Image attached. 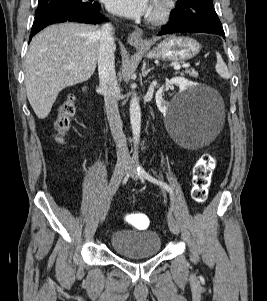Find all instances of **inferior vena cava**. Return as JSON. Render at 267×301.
I'll return each instance as SVG.
<instances>
[{
	"mask_svg": "<svg viewBox=\"0 0 267 301\" xmlns=\"http://www.w3.org/2000/svg\"><path fill=\"white\" fill-rule=\"evenodd\" d=\"M99 34L101 36L98 55L100 87L104 94L106 114L111 133L118 148L117 162L126 164L130 160V155L118 110L120 90L114 65V28L110 23H106L99 30Z\"/></svg>",
	"mask_w": 267,
	"mask_h": 301,
	"instance_id": "602c4592",
	"label": "inferior vena cava"
}]
</instances>
